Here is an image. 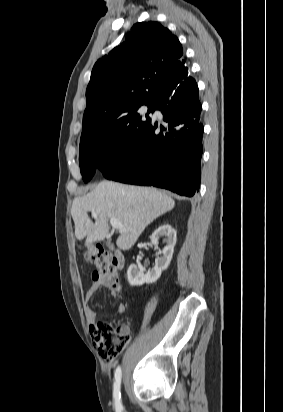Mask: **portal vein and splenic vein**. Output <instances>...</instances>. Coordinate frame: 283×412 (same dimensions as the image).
<instances>
[{
	"label": "portal vein and splenic vein",
	"mask_w": 283,
	"mask_h": 412,
	"mask_svg": "<svg viewBox=\"0 0 283 412\" xmlns=\"http://www.w3.org/2000/svg\"><path fill=\"white\" fill-rule=\"evenodd\" d=\"M92 216L97 217V213L95 211H92ZM110 224L114 229H117V230H120V231L124 230V227H123L122 223L119 220L115 219V218H110Z\"/></svg>",
	"instance_id": "obj_1"
}]
</instances>
